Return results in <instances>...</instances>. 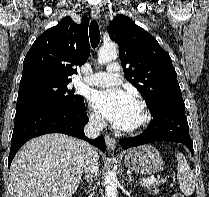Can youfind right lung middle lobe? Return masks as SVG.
<instances>
[{
    "label": "right lung middle lobe",
    "instance_id": "obj_1",
    "mask_svg": "<svg viewBox=\"0 0 209 197\" xmlns=\"http://www.w3.org/2000/svg\"><path fill=\"white\" fill-rule=\"evenodd\" d=\"M71 80H39L20 84L16 112L45 105H69L84 101L67 85Z\"/></svg>",
    "mask_w": 209,
    "mask_h": 197
}]
</instances>
